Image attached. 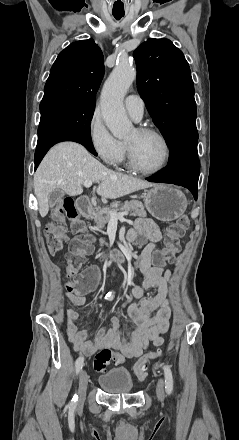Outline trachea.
Listing matches in <instances>:
<instances>
[{
	"mask_svg": "<svg viewBox=\"0 0 239 440\" xmlns=\"http://www.w3.org/2000/svg\"><path fill=\"white\" fill-rule=\"evenodd\" d=\"M113 16H114L117 20H120V18L124 17V14L113 13Z\"/></svg>",
	"mask_w": 239,
	"mask_h": 440,
	"instance_id": "trachea-1",
	"label": "trachea"
}]
</instances>
